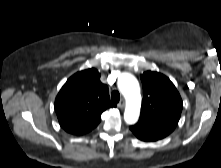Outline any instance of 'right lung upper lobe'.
Wrapping results in <instances>:
<instances>
[{"label": "right lung upper lobe", "mask_w": 221, "mask_h": 168, "mask_svg": "<svg viewBox=\"0 0 221 168\" xmlns=\"http://www.w3.org/2000/svg\"><path fill=\"white\" fill-rule=\"evenodd\" d=\"M116 107L110 101L108 87L101 83L94 69L77 72L63 85L55 99L60 126L68 133L83 135L101 121V114Z\"/></svg>", "instance_id": "1"}]
</instances>
